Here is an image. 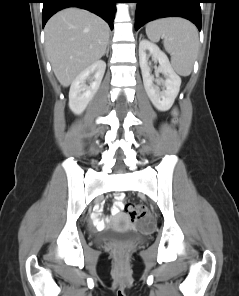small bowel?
<instances>
[{
  "label": "small bowel",
  "mask_w": 239,
  "mask_h": 296,
  "mask_svg": "<svg viewBox=\"0 0 239 296\" xmlns=\"http://www.w3.org/2000/svg\"><path fill=\"white\" fill-rule=\"evenodd\" d=\"M120 200H121V197H119L118 201L111 207V214L112 215H117L120 212ZM94 220L98 221L96 215H94Z\"/></svg>",
  "instance_id": "obj_1"
}]
</instances>
